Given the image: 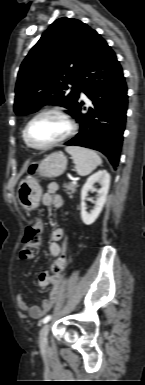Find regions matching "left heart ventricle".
I'll return each mask as SVG.
<instances>
[{
  "label": "left heart ventricle",
  "mask_w": 145,
  "mask_h": 385,
  "mask_svg": "<svg viewBox=\"0 0 145 385\" xmlns=\"http://www.w3.org/2000/svg\"><path fill=\"white\" fill-rule=\"evenodd\" d=\"M68 125L55 114H46L37 118L29 130L30 141L37 146L50 144L66 134Z\"/></svg>",
  "instance_id": "obj_1"
}]
</instances>
